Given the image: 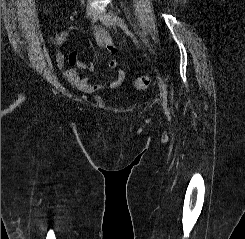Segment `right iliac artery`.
I'll return each instance as SVG.
<instances>
[{
	"instance_id": "82829eb1",
	"label": "right iliac artery",
	"mask_w": 245,
	"mask_h": 239,
	"mask_svg": "<svg viewBox=\"0 0 245 239\" xmlns=\"http://www.w3.org/2000/svg\"><path fill=\"white\" fill-rule=\"evenodd\" d=\"M96 22H97V18L94 17V18L92 19V21H91L92 26H93Z\"/></svg>"
}]
</instances>
